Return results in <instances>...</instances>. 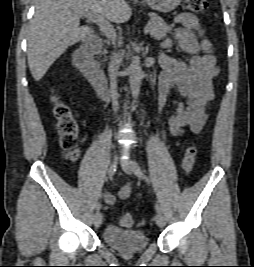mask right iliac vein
Returning a JSON list of instances; mask_svg holds the SVG:
<instances>
[{
    "label": "right iliac vein",
    "instance_id": "1",
    "mask_svg": "<svg viewBox=\"0 0 254 267\" xmlns=\"http://www.w3.org/2000/svg\"><path fill=\"white\" fill-rule=\"evenodd\" d=\"M113 165H115V164H113ZM93 223H94L95 227H99L102 224V215H101V213L97 212L93 216Z\"/></svg>",
    "mask_w": 254,
    "mask_h": 267
}]
</instances>
